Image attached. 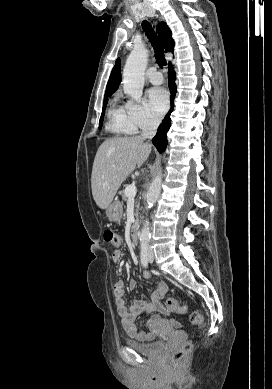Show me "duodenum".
<instances>
[{
	"mask_svg": "<svg viewBox=\"0 0 272 389\" xmlns=\"http://www.w3.org/2000/svg\"><path fill=\"white\" fill-rule=\"evenodd\" d=\"M139 223L135 222L130 231V238L134 244L139 243Z\"/></svg>",
	"mask_w": 272,
	"mask_h": 389,
	"instance_id": "obj_1",
	"label": "duodenum"
}]
</instances>
